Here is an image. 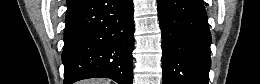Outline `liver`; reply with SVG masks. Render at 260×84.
<instances>
[{"mask_svg": "<svg viewBox=\"0 0 260 84\" xmlns=\"http://www.w3.org/2000/svg\"><path fill=\"white\" fill-rule=\"evenodd\" d=\"M81 84H110V81L106 79H90L82 81Z\"/></svg>", "mask_w": 260, "mask_h": 84, "instance_id": "1", "label": "liver"}]
</instances>
